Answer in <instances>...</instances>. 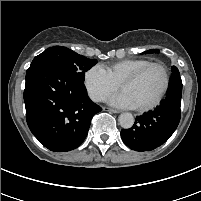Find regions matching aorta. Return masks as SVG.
<instances>
[{
  "instance_id": "aorta-1",
  "label": "aorta",
  "mask_w": 201,
  "mask_h": 201,
  "mask_svg": "<svg viewBox=\"0 0 201 201\" xmlns=\"http://www.w3.org/2000/svg\"><path fill=\"white\" fill-rule=\"evenodd\" d=\"M118 121L122 128L129 129L134 124V117L131 113L126 112L120 114Z\"/></svg>"
}]
</instances>
